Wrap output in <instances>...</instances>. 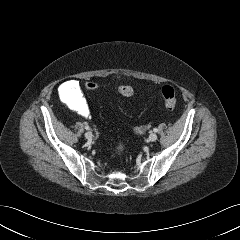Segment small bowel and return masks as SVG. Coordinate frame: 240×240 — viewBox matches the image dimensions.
<instances>
[{
    "mask_svg": "<svg viewBox=\"0 0 240 240\" xmlns=\"http://www.w3.org/2000/svg\"><path fill=\"white\" fill-rule=\"evenodd\" d=\"M60 93L68 104V106L83 117L89 116L88 105L81 93L79 82L76 80H69L62 84ZM147 130L145 125H140L134 128L137 135H143Z\"/></svg>",
    "mask_w": 240,
    "mask_h": 240,
    "instance_id": "small-bowel-1",
    "label": "small bowel"
}]
</instances>
